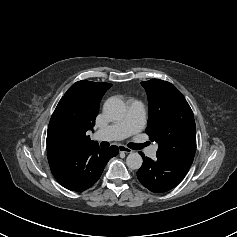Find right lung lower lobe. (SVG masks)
<instances>
[{
    "label": "right lung lower lobe",
    "mask_w": 237,
    "mask_h": 237,
    "mask_svg": "<svg viewBox=\"0 0 237 237\" xmlns=\"http://www.w3.org/2000/svg\"><path fill=\"white\" fill-rule=\"evenodd\" d=\"M119 153L118 147L101 149L98 145L73 148L48 144L47 158L56 180L71 191L81 192L100 178L110 158Z\"/></svg>",
    "instance_id": "98d812e1"
}]
</instances>
